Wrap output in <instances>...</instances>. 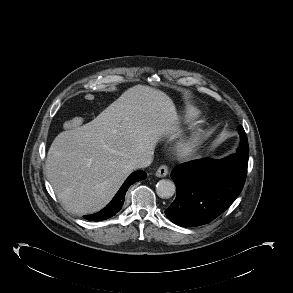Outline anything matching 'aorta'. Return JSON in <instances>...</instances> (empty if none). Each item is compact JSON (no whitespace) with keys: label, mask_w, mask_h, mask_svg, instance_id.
Returning <instances> with one entry per match:
<instances>
[{"label":"aorta","mask_w":293,"mask_h":293,"mask_svg":"<svg viewBox=\"0 0 293 293\" xmlns=\"http://www.w3.org/2000/svg\"><path fill=\"white\" fill-rule=\"evenodd\" d=\"M175 191V184L170 180L162 179L156 185V193L161 198L168 199L174 195Z\"/></svg>","instance_id":"1"}]
</instances>
